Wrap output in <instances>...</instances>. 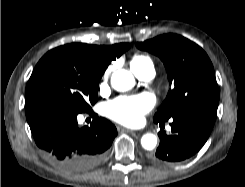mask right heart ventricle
I'll list each match as a JSON object with an SVG mask.
<instances>
[{
  "label": "right heart ventricle",
  "instance_id": "e07e8e85",
  "mask_svg": "<svg viewBox=\"0 0 245 187\" xmlns=\"http://www.w3.org/2000/svg\"><path fill=\"white\" fill-rule=\"evenodd\" d=\"M148 66H153V61L148 55L136 54L130 60V68L135 74Z\"/></svg>",
  "mask_w": 245,
  "mask_h": 187
}]
</instances>
